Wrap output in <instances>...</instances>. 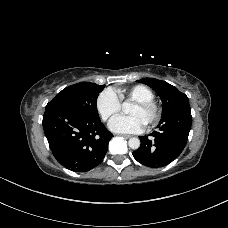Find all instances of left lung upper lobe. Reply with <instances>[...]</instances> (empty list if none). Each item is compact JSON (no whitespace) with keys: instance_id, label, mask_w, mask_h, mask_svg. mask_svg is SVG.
I'll list each match as a JSON object with an SVG mask.
<instances>
[{"instance_id":"left-lung-upper-lobe-1","label":"left lung upper lobe","mask_w":228,"mask_h":228,"mask_svg":"<svg viewBox=\"0 0 228 228\" xmlns=\"http://www.w3.org/2000/svg\"><path fill=\"white\" fill-rule=\"evenodd\" d=\"M150 86L160 96L163 104L161 119L172 115L175 118L174 122H181V108L189 106L188 97L177 90L171 84L154 78H143L138 80Z\"/></svg>"}]
</instances>
